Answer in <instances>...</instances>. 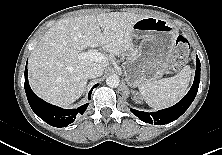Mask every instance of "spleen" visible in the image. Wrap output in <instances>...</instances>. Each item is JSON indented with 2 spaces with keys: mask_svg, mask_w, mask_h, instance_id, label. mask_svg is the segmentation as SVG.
Instances as JSON below:
<instances>
[{
  "mask_svg": "<svg viewBox=\"0 0 222 155\" xmlns=\"http://www.w3.org/2000/svg\"><path fill=\"white\" fill-rule=\"evenodd\" d=\"M191 70L185 66L173 77L141 84L139 91L145 102L155 109L169 107L179 102L186 94Z\"/></svg>",
  "mask_w": 222,
  "mask_h": 155,
  "instance_id": "spleen-1",
  "label": "spleen"
}]
</instances>
